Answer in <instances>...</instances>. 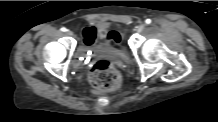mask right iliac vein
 Segmentation results:
<instances>
[{"label":"right iliac vein","mask_w":218,"mask_h":122,"mask_svg":"<svg viewBox=\"0 0 218 122\" xmlns=\"http://www.w3.org/2000/svg\"><path fill=\"white\" fill-rule=\"evenodd\" d=\"M66 35H67V36H73V32L70 31V30H68V31H66Z\"/></svg>","instance_id":"63e3f726"}]
</instances>
